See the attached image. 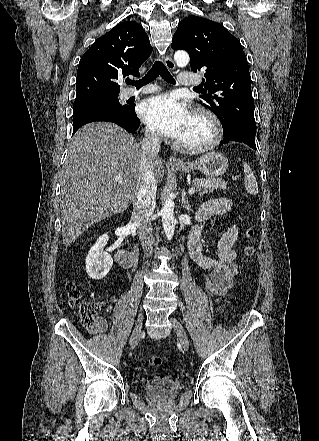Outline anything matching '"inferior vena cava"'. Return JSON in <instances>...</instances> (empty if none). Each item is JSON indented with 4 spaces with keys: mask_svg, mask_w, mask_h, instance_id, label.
Listing matches in <instances>:
<instances>
[{
    "mask_svg": "<svg viewBox=\"0 0 319 441\" xmlns=\"http://www.w3.org/2000/svg\"><path fill=\"white\" fill-rule=\"evenodd\" d=\"M141 179L140 186L133 202L132 221L137 226L138 236L146 257L152 254L154 243L151 215L156 205L157 183L152 170V162L160 149V135L146 131L141 145Z\"/></svg>",
    "mask_w": 319,
    "mask_h": 441,
    "instance_id": "602c4592",
    "label": "inferior vena cava"
}]
</instances>
